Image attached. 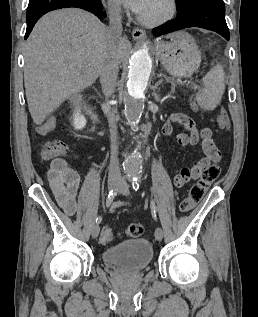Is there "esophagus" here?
<instances>
[{"mask_svg":"<svg viewBox=\"0 0 258 317\" xmlns=\"http://www.w3.org/2000/svg\"><path fill=\"white\" fill-rule=\"evenodd\" d=\"M132 37L134 39H145L146 32L145 30H142V28H134V30L132 31Z\"/></svg>","mask_w":258,"mask_h":317,"instance_id":"1","label":"esophagus"}]
</instances>
